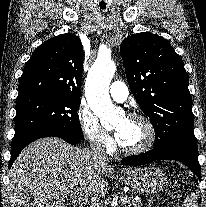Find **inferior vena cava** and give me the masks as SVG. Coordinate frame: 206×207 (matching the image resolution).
<instances>
[{
	"mask_svg": "<svg viewBox=\"0 0 206 207\" xmlns=\"http://www.w3.org/2000/svg\"><path fill=\"white\" fill-rule=\"evenodd\" d=\"M90 151L97 159H101L104 161L108 160L105 150L103 147H101L100 144H91Z\"/></svg>",
	"mask_w": 206,
	"mask_h": 207,
	"instance_id": "1",
	"label": "inferior vena cava"
}]
</instances>
